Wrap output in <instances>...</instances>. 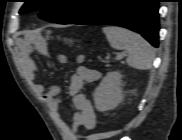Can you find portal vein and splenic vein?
I'll return each mask as SVG.
<instances>
[{"label":"portal vein and splenic vein","instance_id":"obj_1","mask_svg":"<svg viewBox=\"0 0 182 140\" xmlns=\"http://www.w3.org/2000/svg\"><path fill=\"white\" fill-rule=\"evenodd\" d=\"M121 57H122V55H117L116 56V59L118 60V59H121Z\"/></svg>","mask_w":182,"mask_h":140}]
</instances>
